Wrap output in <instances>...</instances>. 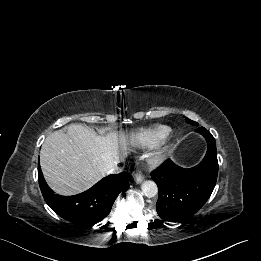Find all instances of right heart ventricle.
<instances>
[{"mask_svg":"<svg viewBox=\"0 0 261 261\" xmlns=\"http://www.w3.org/2000/svg\"><path fill=\"white\" fill-rule=\"evenodd\" d=\"M170 129L166 126L158 125L152 128L142 129L134 135L133 143L138 148H149L168 136Z\"/></svg>","mask_w":261,"mask_h":261,"instance_id":"1","label":"right heart ventricle"}]
</instances>
